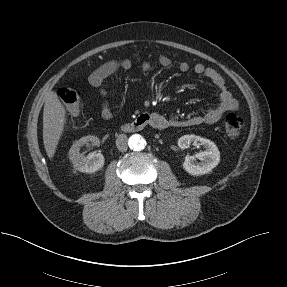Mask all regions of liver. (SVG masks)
<instances>
[{
    "label": "liver",
    "instance_id": "6515ba94",
    "mask_svg": "<svg viewBox=\"0 0 287 287\" xmlns=\"http://www.w3.org/2000/svg\"><path fill=\"white\" fill-rule=\"evenodd\" d=\"M66 111L54 91L47 92L43 111V143L47 156L53 158L65 124Z\"/></svg>",
    "mask_w": 287,
    "mask_h": 287
}]
</instances>
